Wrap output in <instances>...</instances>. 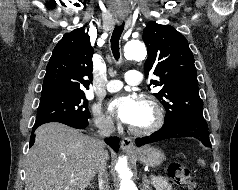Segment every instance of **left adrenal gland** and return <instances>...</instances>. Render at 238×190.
Returning <instances> with one entry per match:
<instances>
[{
	"mask_svg": "<svg viewBox=\"0 0 238 190\" xmlns=\"http://www.w3.org/2000/svg\"><path fill=\"white\" fill-rule=\"evenodd\" d=\"M142 182H143V190H153L150 187V182L145 174L143 175Z\"/></svg>",
	"mask_w": 238,
	"mask_h": 190,
	"instance_id": "a2214340",
	"label": "left adrenal gland"
}]
</instances>
